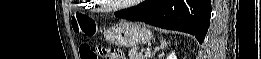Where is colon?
<instances>
[{
	"mask_svg": "<svg viewBox=\"0 0 261 59\" xmlns=\"http://www.w3.org/2000/svg\"><path fill=\"white\" fill-rule=\"evenodd\" d=\"M72 28L75 33L86 37H93L96 34L97 25L94 19L81 13H76L72 17ZM81 59H115L117 54L103 46L92 49L88 45H82L79 49Z\"/></svg>",
	"mask_w": 261,
	"mask_h": 59,
	"instance_id": "colon-1",
	"label": "colon"
}]
</instances>
